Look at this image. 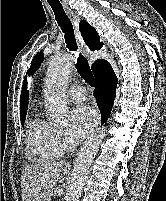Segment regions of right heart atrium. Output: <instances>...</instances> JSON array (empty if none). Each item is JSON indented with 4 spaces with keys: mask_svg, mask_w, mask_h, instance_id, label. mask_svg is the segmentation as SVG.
<instances>
[{
    "mask_svg": "<svg viewBox=\"0 0 166 201\" xmlns=\"http://www.w3.org/2000/svg\"><path fill=\"white\" fill-rule=\"evenodd\" d=\"M56 141H57V144H58V146L62 152L67 150L71 144L67 133L62 129H57Z\"/></svg>",
    "mask_w": 166,
    "mask_h": 201,
    "instance_id": "1",
    "label": "right heart atrium"
}]
</instances>
